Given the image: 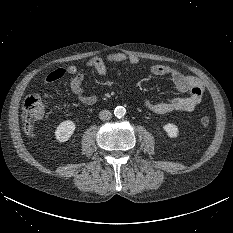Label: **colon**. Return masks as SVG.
I'll use <instances>...</instances> for the list:
<instances>
[{"label":"colon","instance_id":"colon-1","mask_svg":"<svg viewBox=\"0 0 233 233\" xmlns=\"http://www.w3.org/2000/svg\"><path fill=\"white\" fill-rule=\"evenodd\" d=\"M44 105L42 98L37 94L27 96L23 103L22 108V123L24 131L27 134H34L35 125L43 118ZM202 126H209L211 120L209 117L204 116L200 119Z\"/></svg>","mask_w":233,"mask_h":233}]
</instances>
